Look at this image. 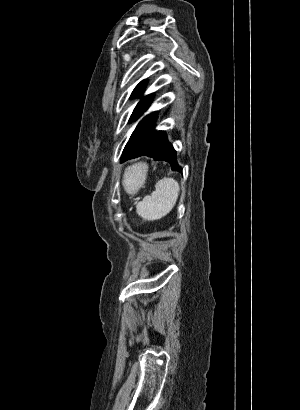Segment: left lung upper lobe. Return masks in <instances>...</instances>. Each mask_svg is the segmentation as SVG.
Returning <instances> with one entry per match:
<instances>
[{
    "label": "left lung upper lobe",
    "instance_id": "obj_1",
    "mask_svg": "<svg viewBox=\"0 0 300 410\" xmlns=\"http://www.w3.org/2000/svg\"><path fill=\"white\" fill-rule=\"evenodd\" d=\"M146 86V81L140 82L134 91L132 92V96H138L143 92V89ZM153 94L143 97L140 102L135 107L130 120L137 119L140 117L144 111L150 106L152 102ZM156 120V112L147 115L143 118L134 132L132 133L128 143L126 144L124 151L122 153L121 160L123 161L126 158H129L134 152H136L139 148H141L153 135L154 128L153 125Z\"/></svg>",
    "mask_w": 300,
    "mask_h": 410
}]
</instances>
